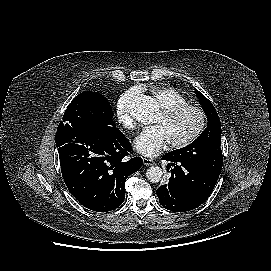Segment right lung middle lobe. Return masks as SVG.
Instances as JSON below:
<instances>
[{"label": "right lung middle lobe", "mask_w": 271, "mask_h": 271, "mask_svg": "<svg viewBox=\"0 0 271 271\" xmlns=\"http://www.w3.org/2000/svg\"><path fill=\"white\" fill-rule=\"evenodd\" d=\"M108 100L98 92L87 91L77 95L67 107L63 122L82 121L85 125L116 127Z\"/></svg>", "instance_id": "1"}]
</instances>
